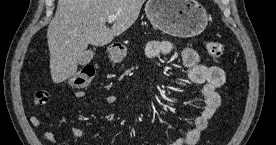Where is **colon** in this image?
I'll use <instances>...</instances> for the list:
<instances>
[{
	"label": "colon",
	"mask_w": 276,
	"mask_h": 145,
	"mask_svg": "<svg viewBox=\"0 0 276 145\" xmlns=\"http://www.w3.org/2000/svg\"><path fill=\"white\" fill-rule=\"evenodd\" d=\"M205 50L213 60H219L224 55L225 46L221 42L209 40L205 42ZM94 75V67L91 65H86L73 73L69 77L68 83L75 88H85L90 85L94 78ZM48 99V94L44 91L40 90L35 93L34 100L38 103L39 106L46 105Z\"/></svg>",
	"instance_id": "colon-1"
}]
</instances>
